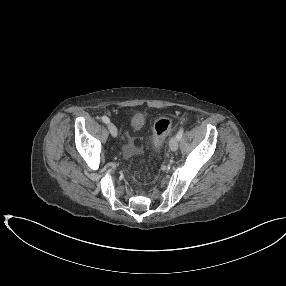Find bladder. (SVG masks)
I'll return each mask as SVG.
<instances>
[{
  "mask_svg": "<svg viewBox=\"0 0 286 286\" xmlns=\"http://www.w3.org/2000/svg\"><path fill=\"white\" fill-rule=\"evenodd\" d=\"M141 121H142L141 117L133 116L132 119H131L132 126L134 128H138Z\"/></svg>",
  "mask_w": 286,
  "mask_h": 286,
  "instance_id": "obj_1",
  "label": "bladder"
}]
</instances>
